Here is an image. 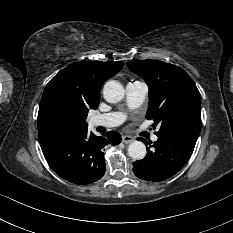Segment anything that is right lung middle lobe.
Listing matches in <instances>:
<instances>
[{"label":"right lung middle lobe","mask_w":233,"mask_h":233,"mask_svg":"<svg viewBox=\"0 0 233 233\" xmlns=\"http://www.w3.org/2000/svg\"><path fill=\"white\" fill-rule=\"evenodd\" d=\"M88 110L75 106L71 102L55 97L49 101L42 112L43 123L51 128L72 130L87 127Z\"/></svg>","instance_id":"obj_1"}]
</instances>
